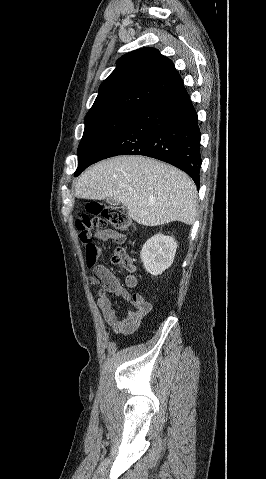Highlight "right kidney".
Listing matches in <instances>:
<instances>
[{
	"instance_id": "1",
	"label": "right kidney",
	"mask_w": 266,
	"mask_h": 479,
	"mask_svg": "<svg viewBox=\"0 0 266 479\" xmlns=\"http://www.w3.org/2000/svg\"><path fill=\"white\" fill-rule=\"evenodd\" d=\"M177 243L171 236L161 233L148 239L141 250V260L147 272L157 276L168 269L174 261Z\"/></svg>"
}]
</instances>
